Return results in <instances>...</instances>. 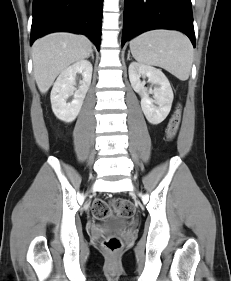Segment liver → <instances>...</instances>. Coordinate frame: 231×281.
<instances>
[{
    "instance_id": "1",
    "label": "liver",
    "mask_w": 231,
    "mask_h": 281,
    "mask_svg": "<svg viewBox=\"0 0 231 281\" xmlns=\"http://www.w3.org/2000/svg\"><path fill=\"white\" fill-rule=\"evenodd\" d=\"M92 52L91 41L73 33H53L35 41L32 47L34 77L41 93L69 65L84 60Z\"/></svg>"
}]
</instances>
